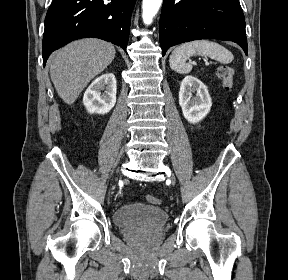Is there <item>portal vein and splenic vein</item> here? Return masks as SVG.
I'll use <instances>...</instances> for the list:
<instances>
[{
  "label": "portal vein and splenic vein",
  "mask_w": 288,
  "mask_h": 280,
  "mask_svg": "<svg viewBox=\"0 0 288 280\" xmlns=\"http://www.w3.org/2000/svg\"><path fill=\"white\" fill-rule=\"evenodd\" d=\"M205 65H209L208 61L205 60Z\"/></svg>",
  "instance_id": "1"
}]
</instances>
